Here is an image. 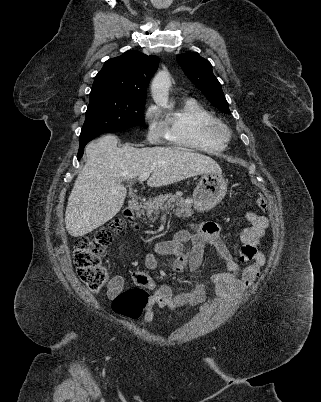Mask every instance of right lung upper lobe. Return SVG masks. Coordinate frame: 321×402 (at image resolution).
<instances>
[{
    "mask_svg": "<svg viewBox=\"0 0 321 402\" xmlns=\"http://www.w3.org/2000/svg\"><path fill=\"white\" fill-rule=\"evenodd\" d=\"M159 58L129 50L107 60L96 75L91 92H104L133 100H146L147 85L156 72Z\"/></svg>",
    "mask_w": 321,
    "mask_h": 402,
    "instance_id": "1",
    "label": "right lung upper lobe"
}]
</instances>
